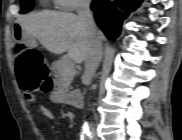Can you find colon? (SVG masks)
Returning <instances> with one entry per match:
<instances>
[{
	"label": "colon",
	"mask_w": 182,
	"mask_h": 140,
	"mask_svg": "<svg viewBox=\"0 0 182 140\" xmlns=\"http://www.w3.org/2000/svg\"><path fill=\"white\" fill-rule=\"evenodd\" d=\"M14 53L19 84L26 99L32 101L35 93L45 91L49 83L45 58L41 51L23 44L18 45Z\"/></svg>",
	"instance_id": "5ec220e1"
}]
</instances>
